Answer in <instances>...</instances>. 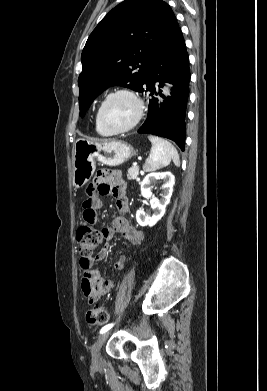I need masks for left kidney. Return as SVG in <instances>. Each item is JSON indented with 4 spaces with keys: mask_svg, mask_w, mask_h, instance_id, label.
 I'll return each instance as SVG.
<instances>
[{
    "mask_svg": "<svg viewBox=\"0 0 267 391\" xmlns=\"http://www.w3.org/2000/svg\"><path fill=\"white\" fill-rule=\"evenodd\" d=\"M160 179L164 182L162 185V197L160 199L152 198L150 201L154 211L153 215L149 216L141 209L136 212V220L140 226H154L164 216L166 206L170 203L175 183V177L171 172L148 174L141 183V195L145 198L150 197L153 183Z\"/></svg>",
    "mask_w": 267,
    "mask_h": 391,
    "instance_id": "left-kidney-1",
    "label": "left kidney"
}]
</instances>
